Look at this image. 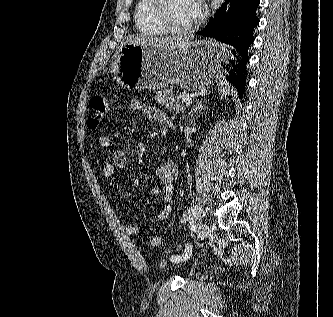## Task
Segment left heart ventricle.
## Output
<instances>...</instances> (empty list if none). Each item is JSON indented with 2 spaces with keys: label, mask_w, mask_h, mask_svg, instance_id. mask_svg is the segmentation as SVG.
<instances>
[{
  "label": "left heart ventricle",
  "mask_w": 333,
  "mask_h": 317,
  "mask_svg": "<svg viewBox=\"0 0 333 317\" xmlns=\"http://www.w3.org/2000/svg\"><path fill=\"white\" fill-rule=\"evenodd\" d=\"M166 16L168 20L178 28L191 26L196 19V0H167Z\"/></svg>",
  "instance_id": "obj_1"
}]
</instances>
